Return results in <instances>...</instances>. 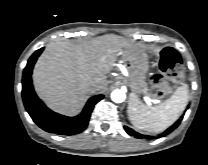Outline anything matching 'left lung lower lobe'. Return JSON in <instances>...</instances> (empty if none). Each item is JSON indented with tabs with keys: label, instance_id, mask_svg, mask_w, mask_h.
<instances>
[{
	"label": "left lung lower lobe",
	"instance_id": "obj_1",
	"mask_svg": "<svg viewBox=\"0 0 208 165\" xmlns=\"http://www.w3.org/2000/svg\"><path fill=\"white\" fill-rule=\"evenodd\" d=\"M183 119V116L180 117V119L174 123L170 128H168L164 133L160 134L159 136H164L168 133H170L171 131H173L175 128H177V126L180 124L181 120ZM125 131L132 136H135L136 138H141V137H145V138H154V137H150V136H143L135 131H133L131 128L125 126L124 127Z\"/></svg>",
	"mask_w": 208,
	"mask_h": 165
}]
</instances>
